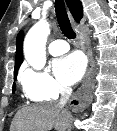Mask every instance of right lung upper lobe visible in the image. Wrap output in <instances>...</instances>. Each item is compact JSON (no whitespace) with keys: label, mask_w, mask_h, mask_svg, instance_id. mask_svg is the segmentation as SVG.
<instances>
[{"label":"right lung upper lobe","mask_w":117,"mask_h":131,"mask_svg":"<svg viewBox=\"0 0 117 131\" xmlns=\"http://www.w3.org/2000/svg\"><path fill=\"white\" fill-rule=\"evenodd\" d=\"M66 3L71 13L73 14L75 20L79 22L83 16L81 1L80 0H66ZM23 38H24L23 32H19L16 39L17 49H16L14 76L17 75L18 69L23 61V50H22Z\"/></svg>","instance_id":"obj_1"}]
</instances>
